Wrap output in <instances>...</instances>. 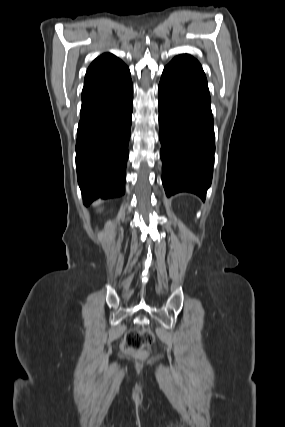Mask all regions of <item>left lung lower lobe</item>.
<instances>
[{"label":"left lung lower lobe","mask_w":285,"mask_h":427,"mask_svg":"<svg viewBox=\"0 0 285 427\" xmlns=\"http://www.w3.org/2000/svg\"><path fill=\"white\" fill-rule=\"evenodd\" d=\"M158 94L165 192H192L205 200L215 143L211 99L200 63L188 54L176 56L164 68Z\"/></svg>","instance_id":"left-lung-lower-lobe-1"}]
</instances>
